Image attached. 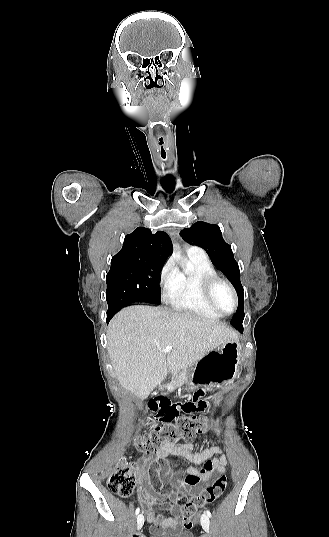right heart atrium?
Returning a JSON list of instances; mask_svg holds the SVG:
<instances>
[{
    "label": "right heart atrium",
    "mask_w": 329,
    "mask_h": 537,
    "mask_svg": "<svg viewBox=\"0 0 329 537\" xmlns=\"http://www.w3.org/2000/svg\"><path fill=\"white\" fill-rule=\"evenodd\" d=\"M177 282V269L173 262L168 260L160 270L159 284L164 298H168L169 294L175 289Z\"/></svg>",
    "instance_id": "1"
}]
</instances>
